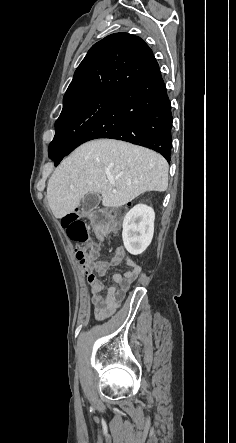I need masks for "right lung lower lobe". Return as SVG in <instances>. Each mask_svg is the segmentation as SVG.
Here are the masks:
<instances>
[{
  "instance_id": "1",
  "label": "right lung lower lobe",
  "mask_w": 236,
  "mask_h": 443,
  "mask_svg": "<svg viewBox=\"0 0 236 443\" xmlns=\"http://www.w3.org/2000/svg\"><path fill=\"white\" fill-rule=\"evenodd\" d=\"M171 129V104L156 62L78 128L66 149L49 148V157L57 165L86 141L113 138L153 149L170 162Z\"/></svg>"
}]
</instances>
